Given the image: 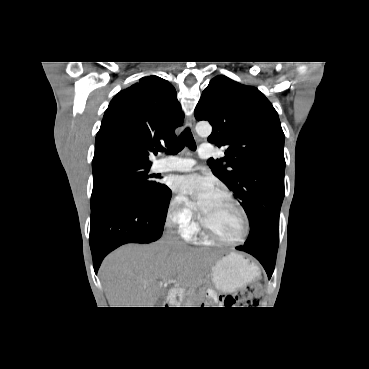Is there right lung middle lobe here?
Here are the masks:
<instances>
[{"mask_svg":"<svg viewBox=\"0 0 369 369\" xmlns=\"http://www.w3.org/2000/svg\"><path fill=\"white\" fill-rule=\"evenodd\" d=\"M150 167L128 161L92 165L91 206L116 191H129L145 200L162 196L168 187L151 179L148 175Z\"/></svg>","mask_w":369,"mask_h":369,"instance_id":"dd1d6c3e","label":"right lung middle lobe"}]
</instances>
